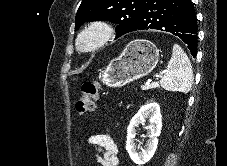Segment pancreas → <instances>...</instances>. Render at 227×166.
<instances>
[{"mask_svg": "<svg viewBox=\"0 0 227 166\" xmlns=\"http://www.w3.org/2000/svg\"><path fill=\"white\" fill-rule=\"evenodd\" d=\"M158 85L157 84H150V85H142L141 89L142 90H149V89H153V88H157Z\"/></svg>", "mask_w": 227, "mask_h": 166, "instance_id": "obj_1", "label": "pancreas"}]
</instances>
